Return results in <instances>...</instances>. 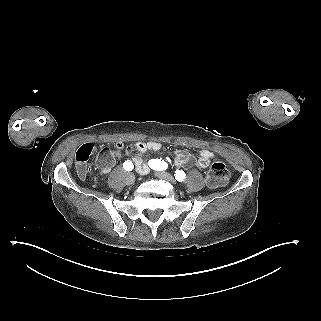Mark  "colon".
<instances>
[{
    "label": "colon",
    "mask_w": 321,
    "mask_h": 321,
    "mask_svg": "<svg viewBox=\"0 0 321 321\" xmlns=\"http://www.w3.org/2000/svg\"><path fill=\"white\" fill-rule=\"evenodd\" d=\"M76 166L78 174H87V161L84 156L76 158ZM229 178V171L226 165L220 160L215 159L210 165L206 173V181L211 187H218L224 185Z\"/></svg>",
    "instance_id": "colon-1"
}]
</instances>
